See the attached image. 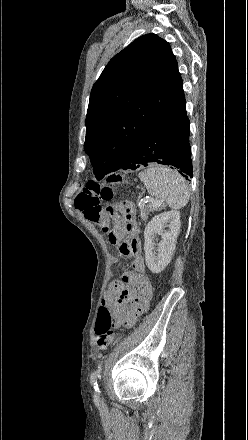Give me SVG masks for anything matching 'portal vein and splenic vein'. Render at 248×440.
Wrapping results in <instances>:
<instances>
[{
  "label": "portal vein and splenic vein",
  "mask_w": 248,
  "mask_h": 440,
  "mask_svg": "<svg viewBox=\"0 0 248 440\" xmlns=\"http://www.w3.org/2000/svg\"><path fill=\"white\" fill-rule=\"evenodd\" d=\"M148 201H149L154 207H158V206H160V203L154 201L153 199H149Z\"/></svg>",
  "instance_id": "18ae733b"
}]
</instances>
